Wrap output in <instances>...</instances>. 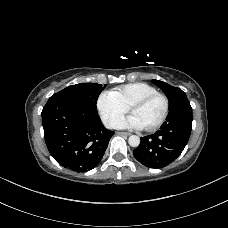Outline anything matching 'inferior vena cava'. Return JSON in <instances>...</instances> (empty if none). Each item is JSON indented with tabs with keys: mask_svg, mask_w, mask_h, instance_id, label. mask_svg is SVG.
I'll list each match as a JSON object with an SVG mask.
<instances>
[{
	"mask_svg": "<svg viewBox=\"0 0 228 228\" xmlns=\"http://www.w3.org/2000/svg\"><path fill=\"white\" fill-rule=\"evenodd\" d=\"M103 123H104V125H105L106 128H114V124H113L112 121L109 120V119H105V120L103 121Z\"/></svg>",
	"mask_w": 228,
	"mask_h": 228,
	"instance_id": "602c4592",
	"label": "inferior vena cava"
}]
</instances>
